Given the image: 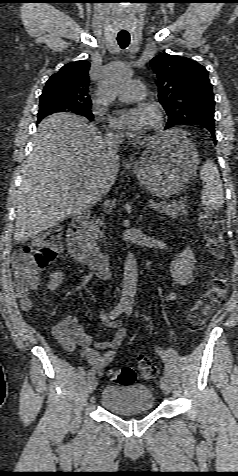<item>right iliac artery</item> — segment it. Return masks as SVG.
<instances>
[{
    "label": "right iliac artery",
    "mask_w": 238,
    "mask_h": 476,
    "mask_svg": "<svg viewBox=\"0 0 238 476\" xmlns=\"http://www.w3.org/2000/svg\"><path fill=\"white\" fill-rule=\"evenodd\" d=\"M125 305L123 304H118L111 312L109 318L111 320L115 319L118 317L120 314H122L125 311ZM95 371L93 369H90L87 373L88 378L94 376Z\"/></svg>",
    "instance_id": "82829eb1"
}]
</instances>
